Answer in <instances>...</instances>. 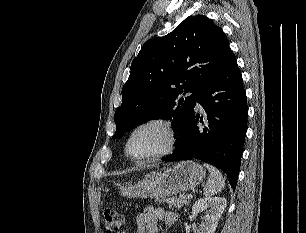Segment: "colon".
Here are the masks:
<instances>
[{
	"label": "colon",
	"instance_id": "colon-1",
	"mask_svg": "<svg viewBox=\"0 0 306 233\" xmlns=\"http://www.w3.org/2000/svg\"><path fill=\"white\" fill-rule=\"evenodd\" d=\"M103 222L106 233H123L124 231V219L115 209L105 210Z\"/></svg>",
	"mask_w": 306,
	"mask_h": 233
}]
</instances>
